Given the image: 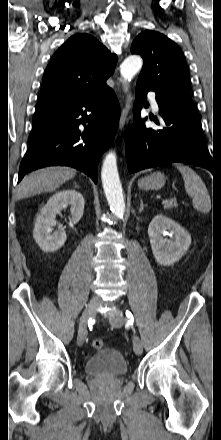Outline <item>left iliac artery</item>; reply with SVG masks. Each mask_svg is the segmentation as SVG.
<instances>
[{
	"instance_id": "left-iliac-artery-1",
	"label": "left iliac artery",
	"mask_w": 221,
	"mask_h": 440,
	"mask_svg": "<svg viewBox=\"0 0 221 440\" xmlns=\"http://www.w3.org/2000/svg\"><path fill=\"white\" fill-rule=\"evenodd\" d=\"M126 316H127V318L129 319V324H133V321H134V318H133V315H132V313L130 312V311H126Z\"/></svg>"
}]
</instances>
